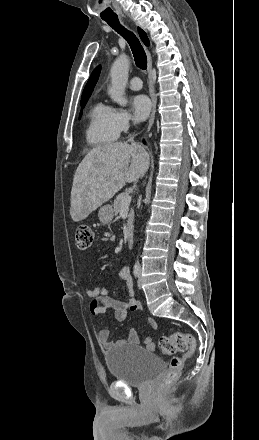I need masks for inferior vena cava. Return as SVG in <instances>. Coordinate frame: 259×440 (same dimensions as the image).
Listing matches in <instances>:
<instances>
[{"label":"inferior vena cava","instance_id":"1","mask_svg":"<svg viewBox=\"0 0 259 440\" xmlns=\"http://www.w3.org/2000/svg\"><path fill=\"white\" fill-rule=\"evenodd\" d=\"M130 141H133V138H130Z\"/></svg>","mask_w":259,"mask_h":440}]
</instances>
